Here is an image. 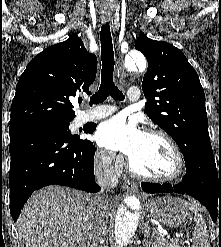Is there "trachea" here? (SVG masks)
I'll return each instance as SVG.
<instances>
[{
    "label": "trachea",
    "instance_id": "1",
    "mask_svg": "<svg viewBox=\"0 0 221 247\" xmlns=\"http://www.w3.org/2000/svg\"><path fill=\"white\" fill-rule=\"evenodd\" d=\"M100 40L102 56L101 84L98 92L90 98V102L91 104L102 103L109 95L115 100L122 101L125 99V96L117 88L113 81L115 61L110 26L108 22L101 27Z\"/></svg>",
    "mask_w": 221,
    "mask_h": 247
}]
</instances>
